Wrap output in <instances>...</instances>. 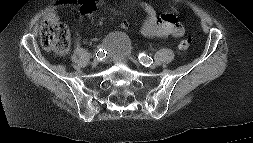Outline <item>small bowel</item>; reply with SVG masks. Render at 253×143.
Segmentation results:
<instances>
[{"label":"small bowel","instance_id":"1","mask_svg":"<svg viewBox=\"0 0 253 143\" xmlns=\"http://www.w3.org/2000/svg\"><path fill=\"white\" fill-rule=\"evenodd\" d=\"M99 0H57L54 7L48 13L47 21H58L57 11L63 6L76 5L80 8L82 17L91 14L97 7ZM141 7L146 14V19L142 27V35L145 37H181L184 29L177 21L173 13L159 14L156 9L148 2H142ZM121 28L128 26V21L122 19L119 22Z\"/></svg>","mask_w":253,"mask_h":143}]
</instances>
